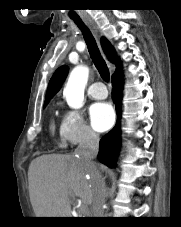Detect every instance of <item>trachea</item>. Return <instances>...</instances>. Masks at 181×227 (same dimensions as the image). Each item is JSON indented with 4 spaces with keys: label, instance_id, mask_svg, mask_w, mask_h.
<instances>
[{
    "label": "trachea",
    "instance_id": "1",
    "mask_svg": "<svg viewBox=\"0 0 181 227\" xmlns=\"http://www.w3.org/2000/svg\"><path fill=\"white\" fill-rule=\"evenodd\" d=\"M74 22L76 23V25L80 28V30L83 33L89 54L92 58V61L95 65V67L99 71L102 79L104 81L108 82L109 78H110L109 69L100 54L99 48L97 46V43H96L92 33L81 20H74Z\"/></svg>",
    "mask_w": 181,
    "mask_h": 227
}]
</instances>
